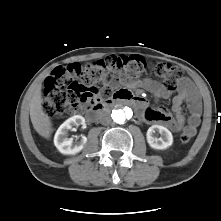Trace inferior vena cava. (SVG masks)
<instances>
[{
  "mask_svg": "<svg viewBox=\"0 0 221 221\" xmlns=\"http://www.w3.org/2000/svg\"><path fill=\"white\" fill-rule=\"evenodd\" d=\"M99 121L102 125H108L111 123V117H110V114L107 113V112H103L100 114L99 116Z\"/></svg>",
  "mask_w": 221,
  "mask_h": 221,
  "instance_id": "1",
  "label": "inferior vena cava"
}]
</instances>
